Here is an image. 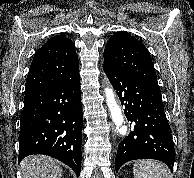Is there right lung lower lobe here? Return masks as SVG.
<instances>
[{
  "label": "right lung lower lobe",
  "instance_id": "1",
  "mask_svg": "<svg viewBox=\"0 0 194 178\" xmlns=\"http://www.w3.org/2000/svg\"><path fill=\"white\" fill-rule=\"evenodd\" d=\"M20 125V161L31 154L48 155L67 164L79 177L83 125L79 75L25 92Z\"/></svg>",
  "mask_w": 194,
  "mask_h": 178
}]
</instances>
